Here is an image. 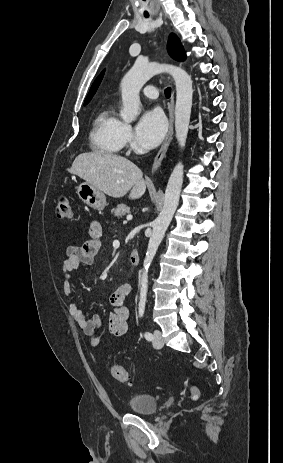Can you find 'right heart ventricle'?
<instances>
[{
	"label": "right heart ventricle",
	"mask_w": 283,
	"mask_h": 463,
	"mask_svg": "<svg viewBox=\"0 0 283 463\" xmlns=\"http://www.w3.org/2000/svg\"><path fill=\"white\" fill-rule=\"evenodd\" d=\"M124 122L112 106L100 110L92 125L90 143L94 151L116 154L123 146L121 130Z\"/></svg>",
	"instance_id": "1"
}]
</instances>
